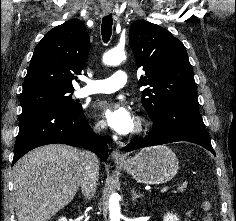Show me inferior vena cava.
Wrapping results in <instances>:
<instances>
[{
  "instance_id": "inferior-vena-cava-1",
  "label": "inferior vena cava",
  "mask_w": 236,
  "mask_h": 221,
  "mask_svg": "<svg viewBox=\"0 0 236 221\" xmlns=\"http://www.w3.org/2000/svg\"><path fill=\"white\" fill-rule=\"evenodd\" d=\"M98 132L99 130L96 129ZM83 169L80 186L85 198L90 199L94 196L99 176V159L90 151L82 153Z\"/></svg>"
}]
</instances>
